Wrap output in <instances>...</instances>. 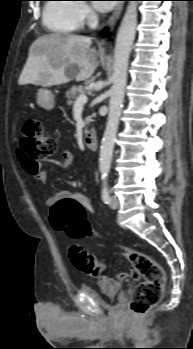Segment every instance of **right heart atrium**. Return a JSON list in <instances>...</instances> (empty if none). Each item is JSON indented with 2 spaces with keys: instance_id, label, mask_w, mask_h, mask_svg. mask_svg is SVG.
Instances as JSON below:
<instances>
[{
  "instance_id": "1",
  "label": "right heart atrium",
  "mask_w": 193,
  "mask_h": 349,
  "mask_svg": "<svg viewBox=\"0 0 193 349\" xmlns=\"http://www.w3.org/2000/svg\"><path fill=\"white\" fill-rule=\"evenodd\" d=\"M77 13H78L82 22L91 21L93 18V13H92L91 9L83 1H80L77 3Z\"/></svg>"
}]
</instances>
